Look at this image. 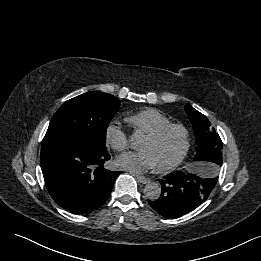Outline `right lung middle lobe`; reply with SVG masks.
<instances>
[{
  "mask_svg": "<svg viewBox=\"0 0 261 261\" xmlns=\"http://www.w3.org/2000/svg\"><path fill=\"white\" fill-rule=\"evenodd\" d=\"M120 102L99 91H90L66 101L51 119L41 149L74 143L105 147L106 130Z\"/></svg>",
  "mask_w": 261,
  "mask_h": 261,
  "instance_id": "obj_1",
  "label": "right lung middle lobe"
}]
</instances>
